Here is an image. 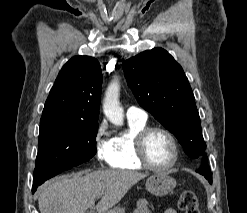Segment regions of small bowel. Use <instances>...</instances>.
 Wrapping results in <instances>:
<instances>
[{"mask_svg":"<svg viewBox=\"0 0 247 213\" xmlns=\"http://www.w3.org/2000/svg\"><path fill=\"white\" fill-rule=\"evenodd\" d=\"M135 213H151V204L147 200H140L137 204ZM164 213H177L174 209H167Z\"/></svg>","mask_w":247,"mask_h":213,"instance_id":"obj_1","label":"small bowel"}]
</instances>
